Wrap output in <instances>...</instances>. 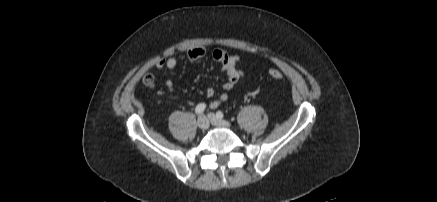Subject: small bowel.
I'll return each mask as SVG.
<instances>
[{
	"label": "small bowel",
	"mask_w": 437,
	"mask_h": 202,
	"mask_svg": "<svg viewBox=\"0 0 437 202\" xmlns=\"http://www.w3.org/2000/svg\"><path fill=\"white\" fill-rule=\"evenodd\" d=\"M206 54L205 48L196 46L188 50L187 58L191 61H197L203 58ZM213 58L220 64L221 71L226 77V82L222 84L223 93L210 103L211 108H217L220 104L225 102L234 86L243 78L244 73L239 66L240 57L238 55H230L225 50L216 49L213 51ZM155 68H167L173 70L177 66V59L174 56H169L166 59H161L155 63ZM167 90L172 93L174 91V84L171 80L166 81ZM215 94L214 88L210 87L206 90V96L212 98Z\"/></svg>",
	"instance_id": "small-bowel-1"
}]
</instances>
